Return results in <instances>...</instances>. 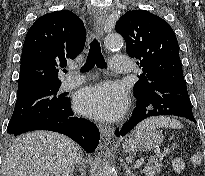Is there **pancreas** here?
Returning <instances> with one entry per match:
<instances>
[{"label": "pancreas", "mask_w": 205, "mask_h": 176, "mask_svg": "<svg viewBox=\"0 0 205 176\" xmlns=\"http://www.w3.org/2000/svg\"><path fill=\"white\" fill-rule=\"evenodd\" d=\"M162 160L163 158L161 156H152L149 159L148 164L144 166L142 173H144L146 176H155L157 173L160 172L163 166Z\"/></svg>", "instance_id": "pancreas-1"}]
</instances>
